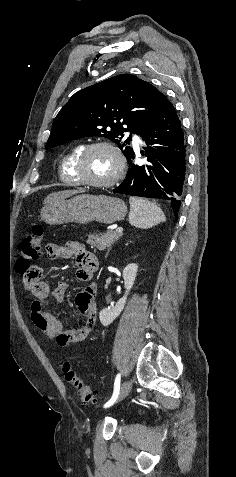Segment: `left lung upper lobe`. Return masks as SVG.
Here are the masks:
<instances>
[{
  "instance_id": "5c2ea615",
  "label": "left lung upper lobe",
  "mask_w": 236,
  "mask_h": 477,
  "mask_svg": "<svg viewBox=\"0 0 236 477\" xmlns=\"http://www.w3.org/2000/svg\"><path fill=\"white\" fill-rule=\"evenodd\" d=\"M162 93L131 74H121L75 93L56 116L45 146L49 149L83 137H106L128 159L131 134L142 137L158 113Z\"/></svg>"
}]
</instances>
